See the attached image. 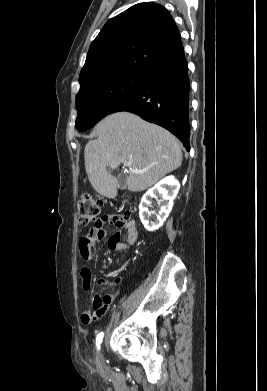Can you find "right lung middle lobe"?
Instances as JSON below:
<instances>
[{
	"label": "right lung middle lobe",
	"mask_w": 267,
	"mask_h": 391,
	"mask_svg": "<svg viewBox=\"0 0 267 391\" xmlns=\"http://www.w3.org/2000/svg\"><path fill=\"white\" fill-rule=\"evenodd\" d=\"M147 73L119 71L98 75L80 87L76 96L79 131L87 130L135 92Z\"/></svg>",
	"instance_id": "right-lung-middle-lobe-1"
}]
</instances>
